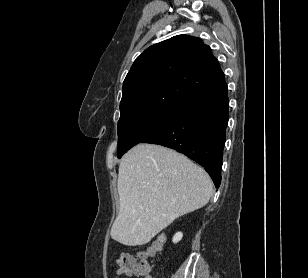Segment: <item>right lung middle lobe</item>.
<instances>
[{"mask_svg":"<svg viewBox=\"0 0 308 278\" xmlns=\"http://www.w3.org/2000/svg\"><path fill=\"white\" fill-rule=\"evenodd\" d=\"M177 112L178 109H151L119 120L117 157L121 158L131 147L162 129Z\"/></svg>","mask_w":308,"mask_h":278,"instance_id":"1","label":"right lung middle lobe"}]
</instances>
